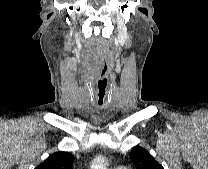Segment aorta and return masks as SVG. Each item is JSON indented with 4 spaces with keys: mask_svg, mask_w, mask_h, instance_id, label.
Instances as JSON below:
<instances>
[{
    "mask_svg": "<svg viewBox=\"0 0 208 169\" xmlns=\"http://www.w3.org/2000/svg\"><path fill=\"white\" fill-rule=\"evenodd\" d=\"M90 169H106L105 158L102 156L96 157L91 164Z\"/></svg>",
    "mask_w": 208,
    "mask_h": 169,
    "instance_id": "762f6f07",
    "label": "aorta"
}]
</instances>
